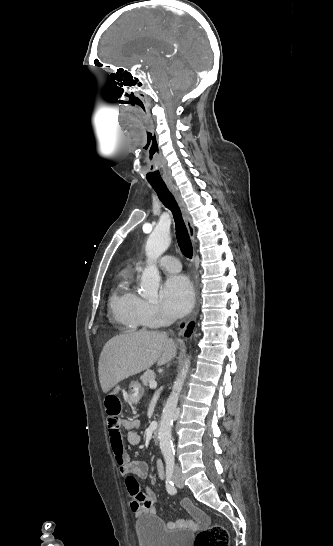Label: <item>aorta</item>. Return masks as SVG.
I'll use <instances>...</instances> for the list:
<instances>
[{
    "label": "aorta",
    "instance_id": "obj_1",
    "mask_svg": "<svg viewBox=\"0 0 333 546\" xmlns=\"http://www.w3.org/2000/svg\"><path fill=\"white\" fill-rule=\"evenodd\" d=\"M170 242L171 238L168 230L160 227L154 229L146 242L145 251L149 263L142 273L140 287L142 295L149 300L154 301L157 299L160 283V274L158 268L154 264V260L159 258L167 250ZM189 365L190 360L187 359L174 382L172 392L168 397L162 412L158 438L163 455H172L174 452L171 435L173 418L177 409L180 392L189 371Z\"/></svg>",
    "mask_w": 333,
    "mask_h": 546
}]
</instances>
